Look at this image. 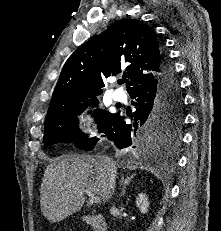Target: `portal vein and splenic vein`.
Returning a JSON list of instances; mask_svg holds the SVG:
<instances>
[{
	"label": "portal vein and splenic vein",
	"instance_id": "1",
	"mask_svg": "<svg viewBox=\"0 0 221 231\" xmlns=\"http://www.w3.org/2000/svg\"><path fill=\"white\" fill-rule=\"evenodd\" d=\"M85 194L90 198V200L94 203H100L101 202V199L99 196H96L95 194H93L92 192H90L89 190H85L84 191Z\"/></svg>",
	"mask_w": 221,
	"mask_h": 231
}]
</instances>
